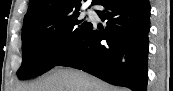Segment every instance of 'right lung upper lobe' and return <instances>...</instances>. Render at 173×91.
<instances>
[{
  "label": "right lung upper lobe",
  "mask_w": 173,
  "mask_h": 91,
  "mask_svg": "<svg viewBox=\"0 0 173 91\" xmlns=\"http://www.w3.org/2000/svg\"><path fill=\"white\" fill-rule=\"evenodd\" d=\"M98 0H93L92 5ZM81 7L78 0H30L24 17L23 28L29 25L58 19L77 12Z\"/></svg>",
  "instance_id": "cb5924a9"
}]
</instances>
